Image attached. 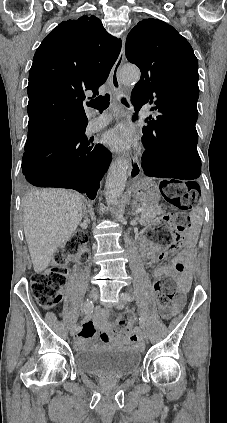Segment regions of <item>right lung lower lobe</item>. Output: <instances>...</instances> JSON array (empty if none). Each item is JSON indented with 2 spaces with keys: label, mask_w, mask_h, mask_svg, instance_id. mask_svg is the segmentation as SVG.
Wrapping results in <instances>:
<instances>
[{
  "label": "right lung lower lobe",
  "mask_w": 227,
  "mask_h": 423,
  "mask_svg": "<svg viewBox=\"0 0 227 423\" xmlns=\"http://www.w3.org/2000/svg\"><path fill=\"white\" fill-rule=\"evenodd\" d=\"M56 113L55 108L42 106L36 109L33 118ZM87 123L88 120L42 145L25 150L22 172L26 180L37 187L74 189L94 199L112 156L102 145L94 146L93 138L85 135Z\"/></svg>",
  "instance_id": "98d812e1"
}]
</instances>
